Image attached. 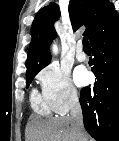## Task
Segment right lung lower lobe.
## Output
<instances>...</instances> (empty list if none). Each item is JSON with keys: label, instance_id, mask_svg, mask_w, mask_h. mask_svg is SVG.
I'll list each match as a JSON object with an SVG mask.
<instances>
[{"label": "right lung lower lobe", "instance_id": "98d812e1", "mask_svg": "<svg viewBox=\"0 0 119 141\" xmlns=\"http://www.w3.org/2000/svg\"><path fill=\"white\" fill-rule=\"evenodd\" d=\"M90 43L97 80L80 93L84 126L97 141H119V15L102 24Z\"/></svg>", "mask_w": 119, "mask_h": 141}]
</instances>
